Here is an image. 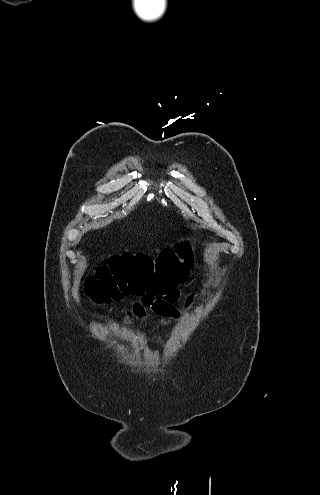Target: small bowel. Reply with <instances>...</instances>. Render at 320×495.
<instances>
[{
  "instance_id": "c3829d8e",
  "label": "small bowel",
  "mask_w": 320,
  "mask_h": 495,
  "mask_svg": "<svg viewBox=\"0 0 320 495\" xmlns=\"http://www.w3.org/2000/svg\"><path fill=\"white\" fill-rule=\"evenodd\" d=\"M187 278L188 273L186 272L179 283L185 282ZM178 284L165 293H144L140 295V300L134 303L126 323L130 324L134 319L144 321L147 317V309L152 310L154 314L159 316L164 324L179 320L190 309L194 302L195 294L188 295L184 300L183 308L178 309L175 306V303L181 298Z\"/></svg>"
}]
</instances>
